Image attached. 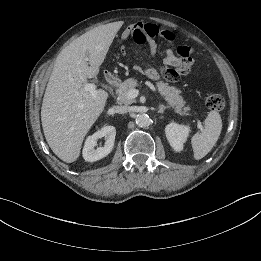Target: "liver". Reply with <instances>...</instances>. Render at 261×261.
I'll return each instance as SVG.
<instances>
[{
    "label": "liver",
    "mask_w": 261,
    "mask_h": 261,
    "mask_svg": "<svg viewBox=\"0 0 261 261\" xmlns=\"http://www.w3.org/2000/svg\"><path fill=\"white\" fill-rule=\"evenodd\" d=\"M118 29L107 24L86 32L55 61L43 97L41 121L50 148L67 163L77 160L86 134L105 108L108 93L98 89L92 96L84 86L99 73Z\"/></svg>",
    "instance_id": "6515ba94"
}]
</instances>
